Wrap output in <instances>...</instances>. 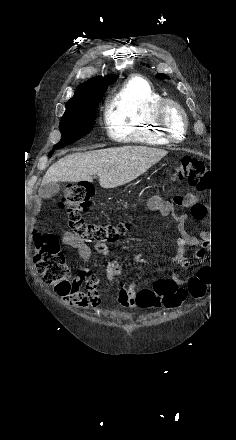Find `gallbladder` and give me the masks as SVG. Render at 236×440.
I'll list each match as a JSON object with an SVG mask.
<instances>
[{"mask_svg":"<svg viewBox=\"0 0 236 440\" xmlns=\"http://www.w3.org/2000/svg\"><path fill=\"white\" fill-rule=\"evenodd\" d=\"M60 190V184L57 183H48L41 185L39 188V195L43 199H50L55 196Z\"/></svg>","mask_w":236,"mask_h":440,"instance_id":"1","label":"gallbladder"}]
</instances>
